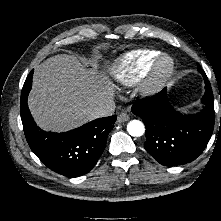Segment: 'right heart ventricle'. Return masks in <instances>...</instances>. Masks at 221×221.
I'll use <instances>...</instances> for the list:
<instances>
[{"instance_id":"1","label":"right heart ventricle","mask_w":221,"mask_h":221,"mask_svg":"<svg viewBox=\"0 0 221 221\" xmlns=\"http://www.w3.org/2000/svg\"><path fill=\"white\" fill-rule=\"evenodd\" d=\"M161 54L158 50L138 49L121 55L111 68L113 78L124 86H132L147 73L155 59Z\"/></svg>"}]
</instances>
